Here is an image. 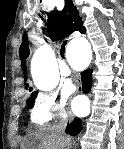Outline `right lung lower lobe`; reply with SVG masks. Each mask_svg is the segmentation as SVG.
<instances>
[{
	"instance_id": "right-lung-lower-lobe-1",
	"label": "right lung lower lobe",
	"mask_w": 124,
	"mask_h": 149,
	"mask_svg": "<svg viewBox=\"0 0 124 149\" xmlns=\"http://www.w3.org/2000/svg\"><path fill=\"white\" fill-rule=\"evenodd\" d=\"M82 128V122L79 118H75L70 124L66 127V133L76 136L78 133H80Z\"/></svg>"
}]
</instances>
